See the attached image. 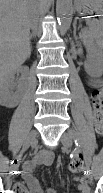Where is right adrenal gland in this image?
I'll use <instances>...</instances> for the list:
<instances>
[{"mask_svg": "<svg viewBox=\"0 0 103 193\" xmlns=\"http://www.w3.org/2000/svg\"><path fill=\"white\" fill-rule=\"evenodd\" d=\"M34 37V33H32L31 35H30V39H32ZM31 49H32V46L30 47Z\"/></svg>", "mask_w": 103, "mask_h": 193, "instance_id": "1", "label": "right adrenal gland"}]
</instances>
